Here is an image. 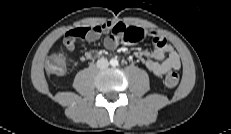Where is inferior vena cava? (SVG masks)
<instances>
[{
    "label": "inferior vena cava",
    "mask_w": 231,
    "mask_h": 134,
    "mask_svg": "<svg viewBox=\"0 0 231 134\" xmlns=\"http://www.w3.org/2000/svg\"><path fill=\"white\" fill-rule=\"evenodd\" d=\"M108 65H109V62L105 58H100L97 61V67L100 68V69H104V68L108 67Z\"/></svg>",
    "instance_id": "inferior-vena-cava-1"
}]
</instances>
